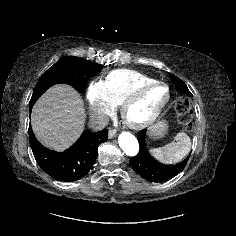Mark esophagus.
<instances>
[{
    "instance_id": "34e87169",
    "label": "esophagus",
    "mask_w": 236,
    "mask_h": 236,
    "mask_svg": "<svg viewBox=\"0 0 236 236\" xmlns=\"http://www.w3.org/2000/svg\"><path fill=\"white\" fill-rule=\"evenodd\" d=\"M117 135V132L115 129L110 128L109 129V138L112 139Z\"/></svg>"
}]
</instances>
